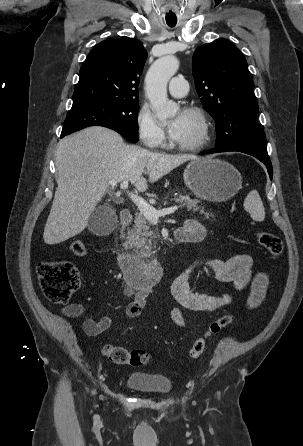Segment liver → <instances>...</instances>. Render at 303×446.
<instances>
[{
    "label": "liver",
    "instance_id": "liver-1",
    "mask_svg": "<svg viewBox=\"0 0 303 446\" xmlns=\"http://www.w3.org/2000/svg\"><path fill=\"white\" fill-rule=\"evenodd\" d=\"M193 155H171L126 144L110 129L94 126L63 138L56 150L57 189L44 228V242L58 244L80 234L110 182L129 181L139 192Z\"/></svg>",
    "mask_w": 303,
    "mask_h": 446
}]
</instances>
